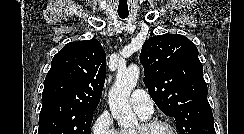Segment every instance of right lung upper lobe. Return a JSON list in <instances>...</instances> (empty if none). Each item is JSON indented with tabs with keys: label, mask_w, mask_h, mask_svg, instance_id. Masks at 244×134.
Returning <instances> with one entry per match:
<instances>
[{
	"label": "right lung upper lobe",
	"mask_w": 244,
	"mask_h": 134,
	"mask_svg": "<svg viewBox=\"0 0 244 134\" xmlns=\"http://www.w3.org/2000/svg\"><path fill=\"white\" fill-rule=\"evenodd\" d=\"M106 54L97 40L70 42L52 59L42 103L59 100L97 108L105 82Z\"/></svg>",
	"instance_id": "right-lung-upper-lobe-1"
}]
</instances>
